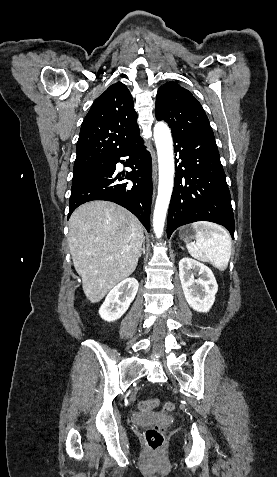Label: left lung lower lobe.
<instances>
[{
	"label": "left lung lower lobe",
	"instance_id": "0a47b994",
	"mask_svg": "<svg viewBox=\"0 0 277 477\" xmlns=\"http://www.w3.org/2000/svg\"><path fill=\"white\" fill-rule=\"evenodd\" d=\"M172 135L181 162L176 169L169 206L167 237L181 225L211 221L226 227L234 238L231 197L214 136Z\"/></svg>",
	"mask_w": 277,
	"mask_h": 477
}]
</instances>
